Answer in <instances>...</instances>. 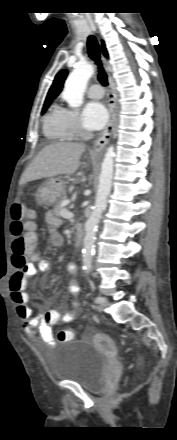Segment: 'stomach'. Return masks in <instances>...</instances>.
I'll use <instances>...</instances> for the list:
<instances>
[{"instance_id": "obj_1", "label": "stomach", "mask_w": 177, "mask_h": 440, "mask_svg": "<svg viewBox=\"0 0 177 440\" xmlns=\"http://www.w3.org/2000/svg\"><path fill=\"white\" fill-rule=\"evenodd\" d=\"M64 181L61 178H52L43 183L35 194L37 204L52 206L56 204L64 191Z\"/></svg>"}]
</instances>
